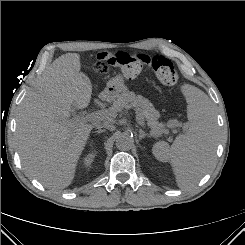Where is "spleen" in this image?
Listing matches in <instances>:
<instances>
[{
	"instance_id": "obj_1",
	"label": "spleen",
	"mask_w": 245,
	"mask_h": 245,
	"mask_svg": "<svg viewBox=\"0 0 245 245\" xmlns=\"http://www.w3.org/2000/svg\"><path fill=\"white\" fill-rule=\"evenodd\" d=\"M190 124L173 144L159 141L152 153L162 162L170 161L181 189L194 186L210 168L217 146L216 117L209 97L197 87L184 85Z\"/></svg>"
}]
</instances>
